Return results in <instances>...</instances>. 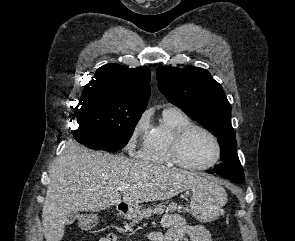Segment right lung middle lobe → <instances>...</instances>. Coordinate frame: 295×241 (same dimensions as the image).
I'll use <instances>...</instances> for the list:
<instances>
[{
    "label": "right lung middle lobe",
    "instance_id": "1",
    "mask_svg": "<svg viewBox=\"0 0 295 241\" xmlns=\"http://www.w3.org/2000/svg\"><path fill=\"white\" fill-rule=\"evenodd\" d=\"M144 110L109 94L90 92L74 109L78 125L73 137L91 149L120 150L128 143Z\"/></svg>",
    "mask_w": 295,
    "mask_h": 241
}]
</instances>
